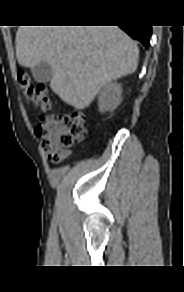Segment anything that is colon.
<instances>
[{"label":"colon","instance_id":"obj_1","mask_svg":"<svg viewBox=\"0 0 184 292\" xmlns=\"http://www.w3.org/2000/svg\"><path fill=\"white\" fill-rule=\"evenodd\" d=\"M17 80L24 97L47 114L51 110V101L47 88L43 84H34L30 76L22 69L18 70ZM84 117L79 111L62 115H43L35 127V134L49 161L59 163L68 155L75 143L86 137Z\"/></svg>","mask_w":184,"mask_h":292}]
</instances>
